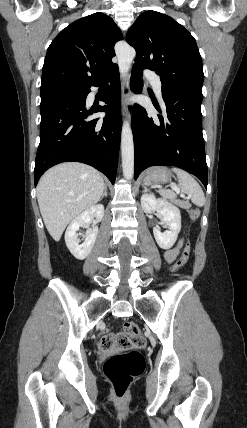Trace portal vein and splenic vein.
I'll use <instances>...</instances> for the list:
<instances>
[{
    "instance_id": "portal-vein-and-splenic-vein-1",
    "label": "portal vein and splenic vein",
    "mask_w": 247,
    "mask_h": 428,
    "mask_svg": "<svg viewBox=\"0 0 247 428\" xmlns=\"http://www.w3.org/2000/svg\"><path fill=\"white\" fill-rule=\"evenodd\" d=\"M173 188V190H175L178 194L180 193V190H179V188L178 187H172ZM181 196H184V194H181Z\"/></svg>"
}]
</instances>
